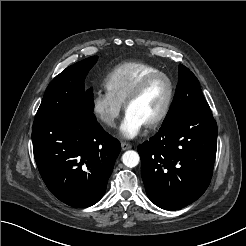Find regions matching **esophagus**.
<instances>
[{"label":"esophagus","mask_w":246,"mask_h":246,"mask_svg":"<svg viewBox=\"0 0 246 246\" xmlns=\"http://www.w3.org/2000/svg\"><path fill=\"white\" fill-rule=\"evenodd\" d=\"M132 146H131V144H129V143H126V142H121V148H122V150H128V149H130Z\"/></svg>","instance_id":"obj_1"}]
</instances>
